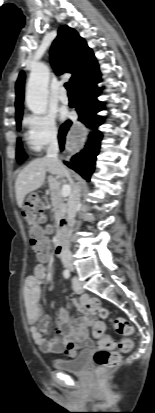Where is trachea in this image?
I'll return each instance as SVG.
<instances>
[{
    "label": "trachea",
    "mask_w": 155,
    "mask_h": 413,
    "mask_svg": "<svg viewBox=\"0 0 155 413\" xmlns=\"http://www.w3.org/2000/svg\"><path fill=\"white\" fill-rule=\"evenodd\" d=\"M65 88L67 89L69 95L74 94V91L72 89V84L70 82L65 83Z\"/></svg>",
    "instance_id": "trachea-1"
}]
</instances>
